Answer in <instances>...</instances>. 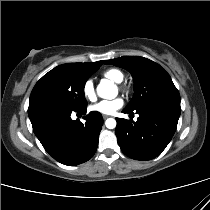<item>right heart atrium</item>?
I'll list each match as a JSON object with an SVG mask.
<instances>
[{
  "label": "right heart atrium",
  "mask_w": 210,
  "mask_h": 210,
  "mask_svg": "<svg viewBox=\"0 0 210 210\" xmlns=\"http://www.w3.org/2000/svg\"><path fill=\"white\" fill-rule=\"evenodd\" d=\"M82 93L84 98L88 101H94L96 99L95 86L91 79H88L84 82Z\"/></svg>",
  "instance_id": "right-heart-atrium-1"
}]
</instances>
